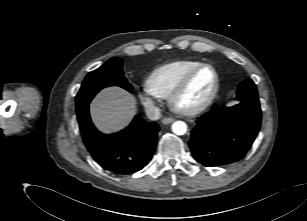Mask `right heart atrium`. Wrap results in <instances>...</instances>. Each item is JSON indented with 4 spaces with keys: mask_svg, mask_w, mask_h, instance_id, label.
<instances>
[{
    "mask_svg": "<svg viewBox=\"0 0 307 221\" xmlns=\"http://www.w3.org/2000/svg\"><path fill=\"white\" fill-rule=\"evenodd\" d=\"M138 98L141 103L147 108H153L155 106V100L149 93L145 91L138 92Z\"/></svg>",
    "mask_w": 307,
    "mask_h": 221,
    "instance_id": "obj_1",
    "label": "right heart atrium"
}]
</instances>
